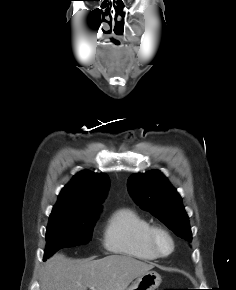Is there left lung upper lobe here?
I'll return each mask as SVG.
<instances>
[{
  "mask_svg": "<svg viewBox=\"0 0 236 290\" xmlns=\"http://www.w3.org/2000/svg\"><path fill=\"white\" fill-rule=\"evenodd\" d=\"M128 190L141 208L157 217L177 236L191 242L189 219L181 197L160 171L131 175Z\"/></svg>",
  "mask_w": 236,
  "mask_h": 290,
  "instance_id": "obj_1",
  "label": "left lung upper lobe"
}]
</instances>
